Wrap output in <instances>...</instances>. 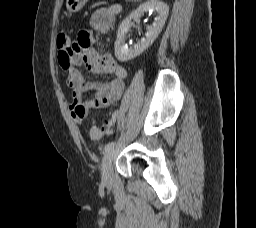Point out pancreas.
Instances as JSON below:
<instances>
[{
	"label": "pancreas",
	"instance_id": "1",
	"mask_svg": "<svg viewBox=\"0 0 256 228\" xmlns=\"http://www.w3.org/2000/svg\"><path fill=\"white\" fill-rule=\"evenodd\" d=\"M137 0H126V2H136Z\"/></svg>",
	"mask_w": 256,
	"mask_h": 228
}]
</instances>
